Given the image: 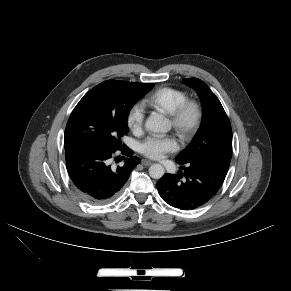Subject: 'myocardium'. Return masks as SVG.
<instances>
[{
    "mask_svg": "<svg viewBox=\"0 0 291 291\" xmlns=\"http://www.w3.org/2000/svg\"><path fill=\"white\" fill-rule=\"evenodd\" d=\"M192 115L190 123H185L188 114ZM203 118V109L201 104L193 99H187L178 105L174 111L169 114V119L173 129L183 141H189L199 129Z\"/></svg>",
    "mask_w": 291,
    "mask_h": 291,
    "instance_id": "myocardium-1",
    "label": "myocardium"
}]
</instances>
